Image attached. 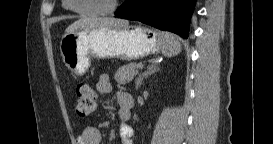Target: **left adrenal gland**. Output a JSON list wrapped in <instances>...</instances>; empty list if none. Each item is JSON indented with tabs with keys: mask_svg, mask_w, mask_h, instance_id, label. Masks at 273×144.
Instances as JSON below:
<instances>
[{
	"mask_svg": "<svg viewBox=\"0 0 273 144\" xmlns=\"http://www.w3.org/2000/svg\"><path fill=\"white\" fill-rule=\"evenodd\" d=\"M159 70V62L153 59L151 63L147 66V69L139 75L136 79V90L142 85L143 80L147 79L150 75Z\"/></svg>",
	"mask_w": 273,
	"mask_h": 144,
	"instance_id": "obj_1",
	"label": "left adrenal gland"
}]
</instances>
